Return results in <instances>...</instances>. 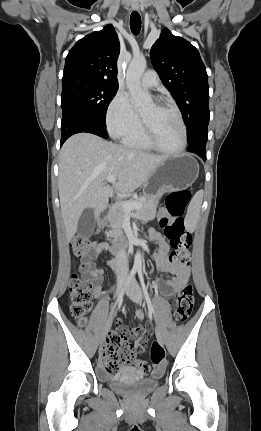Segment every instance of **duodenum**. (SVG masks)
I'll return each mask as SVG.
<instances>
[{
	"instance_id": "1",
	"label": "duodenum",
	"mask_w": 261,
	"mask_h": 431,
	"mask_svg": "<svg viewBox=\"0 0 261 431\" xmlns=\"http://www.w3.org/2000/svg\"><path fill=\"white\" fill-rule=\"evenodd\" d=\"M127 241H117L111 246V252L113 254H117L120 252L122 248H124L127 245Z\"/></svg>"
}]
</instances>
